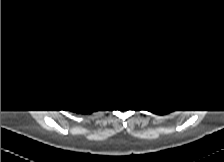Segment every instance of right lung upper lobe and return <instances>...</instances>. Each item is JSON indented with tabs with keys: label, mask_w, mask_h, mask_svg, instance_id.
<instances>
[{
	"label": "right lung upper lobe",
	"mask_w": 224,
	"mask_h": 162,
	"mask_svg": "<svg viewBox=\"0 0 224 162\" xmlns=\"http://www.w3.org/2000/svg\"><path fill=\"white\" fill-rule=\"evenodd\" d=\"M61 94L63 95L65 102L68 103L69 101L75 99L78 95L77 90H71L68 88H63L61 90Z\"/></svg>",
	"instance_id": "obj_1"
}]
</instances>
